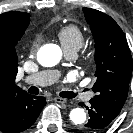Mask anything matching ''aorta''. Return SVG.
<instances>
[{
	"label": "aorta",
	"instance_id": "aorta-1",
	"mask_svg": "<svg viewBox=\"0 0 133 133\" xmlns=\"http://www.w3.org/2000/svg\"><path fill=\"white\" fill-rule=\"evenodd\" d=\"M62 51L55 44H46L40 48L37 54L38 62L45 67H52L59 63ZM70 120L75 125H81L86 121V113L82 108H74L70 112Z\"/></svg>",
	"mask_w": 133,
	"mask_h": 133
}]
</instances>
